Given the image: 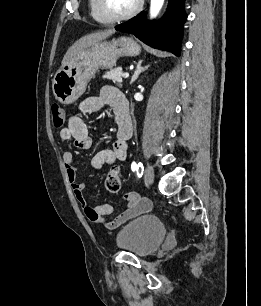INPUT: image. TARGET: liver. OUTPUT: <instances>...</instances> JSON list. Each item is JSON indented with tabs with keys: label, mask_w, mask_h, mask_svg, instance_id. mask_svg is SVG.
Here are the masks:
<instances>
[{
	"label": "liver",
	"mask_w": 261,
	"mask_h": 306,
	"mask_svg": "<svg viewBox=\"0 0 261 306\" xmlns=\"http://www.w3.org/2000/svg\"><path fill=\"white\" fill-rule=\"evenodd\" d=\"M114 33H115L114 29H108L104 31L91 33L84 37H81L67 50L62 60V67L67 63H69L70 61H72L83 50L87 49L88 47L92 46L97 42L106 39L107 37L111 36Z\"/></svg>",
	"instance_id": "1"
}]
</instances>
